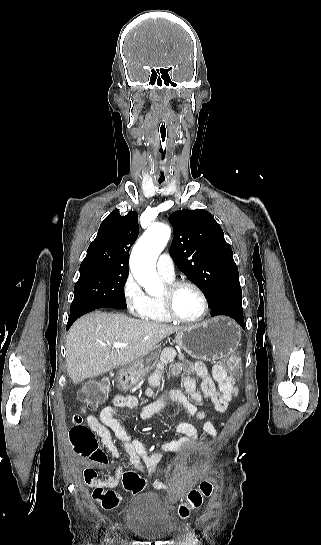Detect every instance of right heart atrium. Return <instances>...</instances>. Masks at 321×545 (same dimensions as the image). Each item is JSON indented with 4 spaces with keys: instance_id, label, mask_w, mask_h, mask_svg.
<instances>
[{
    "instance_id": "d8ad5b80",
    "label": "right heart atrium",
    "mask_w": 321,
    "mask_h": 545,
    "mask_svg": "<svg viewBox=\"0 0 321 545\" xmlns=\"http://www.w3.org/2000/svg\"><path fill=\"white\" fill-rule=\"evenodd\" d=\"M121 295L124 304L131 315L139 318L144 317L148 310L150 300L131 272L125 276L122 282Z\"/></svg>"
}]
</instances>
